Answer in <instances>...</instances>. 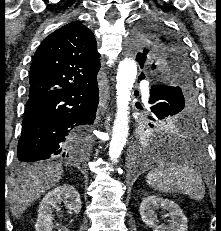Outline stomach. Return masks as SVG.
Masks as SVG:
<instances>
[{
    "label": "stomach",
    "instance_id": "obj_1",
    "mask_svg": "<svg viewBox=\"0 0 221 231\" xmlns=\"http://www.w3.org/2000/svg\"><path fill=\"white\" fill-rule=\"evenodd\" d=\"M177 130V126L176 125H168L167 127H166V130L167 131H165L164 133H169L171 130Z\"/></svg>",
    "mask_w": 221,
    "mask_h": 231
}]
</instances>
